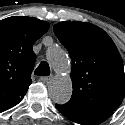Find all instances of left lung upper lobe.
<instances>
[{
    "instance_id": "5c2ea615",
    "label": "left lung upper lobe",
    "mask_w": 125,
    "mask_h": 125,
    "mask_svg": "<svg viewBox=\"0 0 125 125\" xmlns=\"http://www.w3.org/2000/svg\"><path fill=\"white\" fill-rule=\"evenodd\" d=\"M53 29L72 60L73 94L61 106L69 111H115L125 96V74L122 58L109 35L79 21L59 22Z\"/></svg>"
}]
</instances>
